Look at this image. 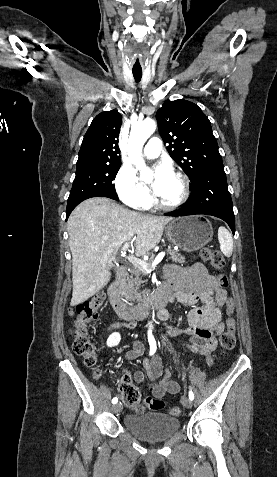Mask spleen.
<instances>
[{"label":"spleen","instance_id":"3e777b00","mask_svg":"<svg viewBox=\"0 0 277 477\" xmlns=\"http://www.w3.org/2000/svg\"><path fill=\"white\" fill-rule=\"evenodd\" d=\"M218 240L220 249L226 257H230L233 251V239L230 232L225 227L218 229Z\"/></svg>","mask_w":277,"mask_h":477}]
</instances>
